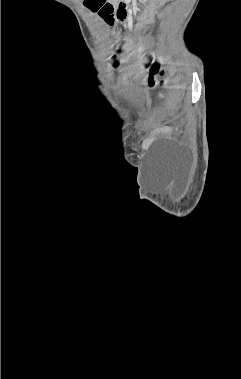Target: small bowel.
<instances>
[{
  "label": "small bowel",
  "instance_id": "obj_1",
  "mask_svg": "<svg viewBox=\"0 0 241 379\" xmlns=\"http://www.w3.org/2000/svg\"><path fill=\"white\" fill-rule=\"evenodd\" d=\"M150 91H153V88H150ZM142 100H145V97H142ZM141 104H146V101H141Z\"/></svg>",
  "mask_w": 241,
  "mask_h": 379
}]
</instances>
